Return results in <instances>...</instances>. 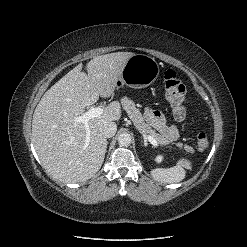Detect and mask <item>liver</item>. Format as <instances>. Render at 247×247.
Here are the masks:
<instances>
[{
    "mask_svg": "<svg viewBox=\"0 0 247 247\" xmlns=\"http://www.w3.org/2000/svg\"><path fill=\"white\" fill-rule=\"evenodd\" d=\"M132 52H115L94 57L68 72L42 96L32 120V142L44 168L65 183L84 182L101 168L107 140L103 127L119 121L121 105L112 102L103 114L88 121L90 135L75 118L99 99L113 96L127 60Z\"/></svg>",
    "mask_w": 247,
    "mask_h": 247,
    "instance_id": "1",
    "label": "liver"
}]
</instances>
